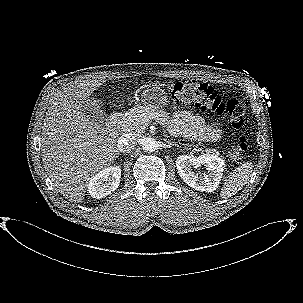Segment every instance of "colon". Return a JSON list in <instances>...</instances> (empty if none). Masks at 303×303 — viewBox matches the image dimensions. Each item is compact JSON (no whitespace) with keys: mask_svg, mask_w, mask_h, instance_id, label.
I'll return each mask as SVG.
<instances>
[{"mask_svg":"<svg viewBox=\"0 0 303 303\" xmlns=\"http://www.w3.org/2000/svg\"><path fill=\"white\" fill-rule=\"evenodd\" d=\"M174 101L179 105L191 106L198 110L209 112L223 118L233 128H240L248 113L245 101L239 98L225 100L212 87L194 80L174 81L170 85ZM249 151L244 136H239L233 142L230 155L236 161H242Z\"/></svg>","mask_w":303,"mask_h":303,"instance_id":"colon-1","label":"colon"}]
</instances>
